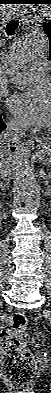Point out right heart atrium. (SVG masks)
I'll return each instance as SVG.
<instances>
[{"instance_id":"right-heart-atrium-1","label":"right heart atrium","mask_w":51,"mask_h":393,"mask_svg":"<svg viewBox=\"0 0 51 393\" xmlns=\"http://www.w3.org/2000/svg\"><path fill=\"white\" fill-rule=\"evenodd\" d=\"M8 125H9V127H10L12 130H15V131H18V132H20V131L23 130V126L20 124L19 121H17V120L14 119V118H10V119H9Z\"/></svg>"}]
</instances>
